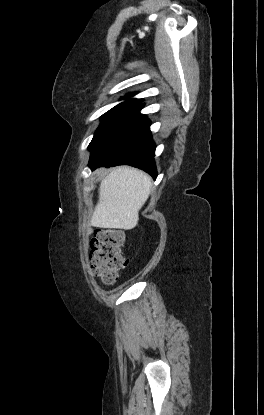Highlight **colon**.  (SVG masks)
<instances>
[{"label": "colon", "instance_id": "5ec220e1", "mask_svg": "<svg viewBox=\"0 0 264 415\" xmlns=\"http://www.w3.org/2000/svg\"><path fill=\"white\" fill-rule=\"evenodd\" d=\"M124 240V233L117 229L100 228L94 231L89 249L90 270L106 285L114 284L125 266L126 259L122 253Z\"/></svg>", "mask_w": 264, "mask_h": 415}]
</instances>
